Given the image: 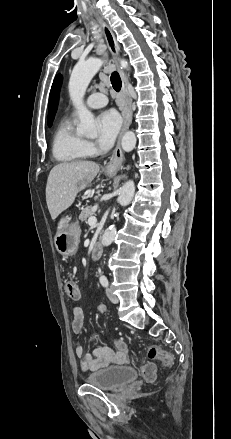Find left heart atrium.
I'll return each mask as SVG.
<instances>
[{"label":"left heart atrium","mask_w":231,"mask_h":439,"mask_svg":"<svg viewBox=\"0 0 231 439\" xmlns=\"http://www.w3.org/2000/svg\"><path fill=\"white\" fill-rule=\"evenodd\" d=\"M98 129V144L102 149H109L121 127V118L114 110L102 112L96 120Z\"/></svg>","instance_id":"39dd6f15"}]
</instances>
